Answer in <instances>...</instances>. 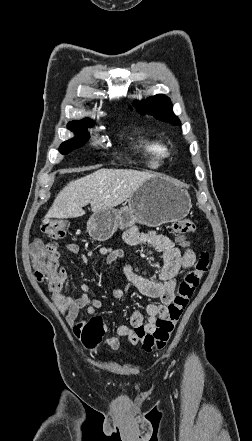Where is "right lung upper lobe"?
Returning a JSON list of instances; mask_svg holds the SVG:
<instances>
[{
	"mask_svg": "<svg viewBox=\"0 0 252 441\" xmlns=\"http://www.w3.org/2000/svg\"><path fill=\"white\" fill-rule=\"evenodd\" d=\"M80 123H86V124H93V121L90 119H84L82 121H79Z\"/></svg>",
	"mask_w": 252,
	"mask_h": 441,
	"instance_id": "cb5924a9",
	"label": "right lung upper lobe"
}]
</instances>
